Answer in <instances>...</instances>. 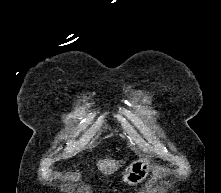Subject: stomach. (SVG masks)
<instances>
[{"instance_id":"0dacf381","label":"stomach","mask_w":221,"mask_h":193,"mask_svg":"<svg viewBox=\"0 0 221 193\" xmlns=\"http://www.w3.org/2000/svg\"><path fill=\"white\" fill-rule=\"evenodd\" d=\"M152 165L149 160L139 159L128 166L123 174V180L129 185L141 183L149 174Z\"/></svg>"}]
</instances>
